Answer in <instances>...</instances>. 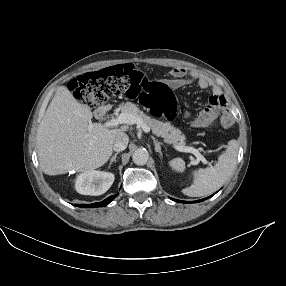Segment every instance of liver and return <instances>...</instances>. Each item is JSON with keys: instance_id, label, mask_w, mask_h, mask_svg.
<instances>
[{"instance_id": "obj_1", "label": "liver", "mask_w": 286, "mask_h": 286, "mask_svg": "<svg viewBox=\"0 0 286 286\" xmlns=\"http://www.w3.org/2000/svg\"><path fill=\"white\" fill-rule=\"evenodd\" d=\"M92 117L66 86L57 89L37 132L38 160L45 174L90 171L108 161L115 138L128 127L108 129L92 123Z\"/></svg>"}]
</instances>
